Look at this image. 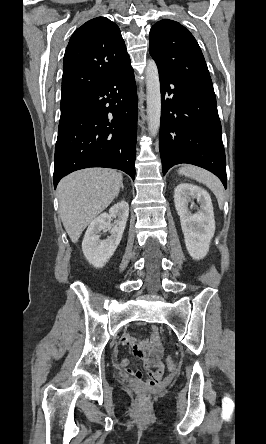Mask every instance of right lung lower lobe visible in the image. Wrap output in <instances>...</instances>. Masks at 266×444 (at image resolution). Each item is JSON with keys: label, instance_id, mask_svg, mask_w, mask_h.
<instances>
[{"label": "right lung lower lobe", "instance_id": "98d812e1", "mask_svg": "<svg viewBox=\"0 0 266 444\" xmlns=\"http://www.w3.org/2000/svg\"><path fill=\"white\" fill-rule=\"evenodd\" d=\"M137 93L130 61L61 111L55 146L54 187L67 174L89 167L135 177Z\"/></svg>", "mask_w": 266, "mask_h": 444}]
</instances>
